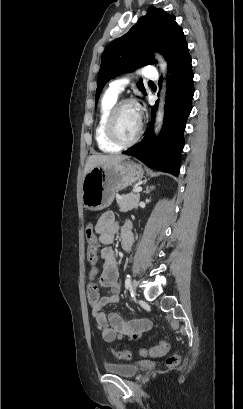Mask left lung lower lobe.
<instances>
[{
	"instance_id": "obj_1",
	"label": "left lung lower lobe",
	"mask_w": 243,
	"mask_h": 409,
	"mask_svg": "<svg viewBox=\"0 0 243 409\" xmlns=\"http://www.w3.org/2000/svg\"><path fill=\"white\" fill-rule=\"evenodd\" d=\"M165 118L161 133L153 137V122L157 103L152 108V119L141 142L123 154L138 158L148 167L178 176L180 152L184 146V129L192 109L194 94L193 72L188 45L185 43L169 63Z\"/></svg>"
}]
</instances>
